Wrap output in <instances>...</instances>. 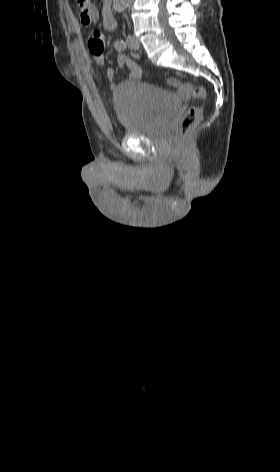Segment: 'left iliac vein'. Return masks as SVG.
<instances>
[{"instance_id": "left-iliac-vein-1", "label": "left iliac vein", "mask_w": 280, "mask_h": 472, "mask_svg": "<svg viewBox=\"0 0 280 472\" xmlns=\"http://www.w3.org/2000/svg\"><path fill=\"white\" fill-rule=\"evenodd\" d=\"M126 43L133 50H138L140 48V43L135 36L129 35L126 39Z\"/></svg>"}]
</instances>
